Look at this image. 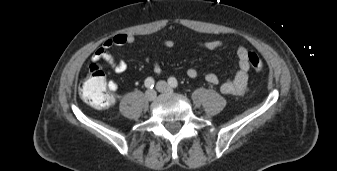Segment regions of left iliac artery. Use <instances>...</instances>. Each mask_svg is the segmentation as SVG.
I'll list each match as a JSON object with an SVG mask.
<instances>
[{"instance_id": "44dca946", "label": "left iliac artery", "mask_w": 337, "mask_h": 171, "mask_svg": "<svg viewBox=\"0 0 337 171\" xmlns=\"http://www.w3.org/2000/svg\"><path fill=\"white\" fill-rule=\"evenodd\" d=\"M168 83L173 88H177L178 87V82H177V80L174 77H170L168 79Z\"/></svg>"}]
</instances>
